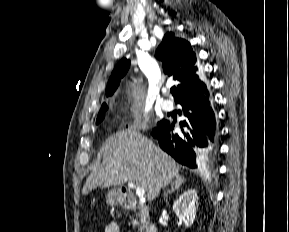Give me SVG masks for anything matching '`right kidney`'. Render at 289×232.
I'll list each match as a JSON object with an SVG mask.
<instances>
[{
	"label": "right kidney",
	"instance_id": "obj_1",
	"mask_svg": "<svg viewBox=\"0 0 289 232\" xmlns=\"http://www.w3.org/2000/svg\"><path fill=\"white\" fill-rule=\"evenodd\" d=\"M197 201V191L195 189H188L173 204L175 214L180 221H183L185 227H190L194 221Z\"/></svg>",
	"mask_w": 289,
	"mask_h": 232
}]
</instances>
